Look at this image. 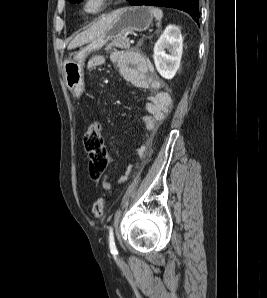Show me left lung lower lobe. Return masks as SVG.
<instances>
[{
    "instance_id": "left-lung-lower-lobe-1",
    "label": "left lung lower lobe",
    "mask_w": 267,
    "mask_h": 298,
    "mask_svg": "<svg viewBox=\"0 0 267 298\" xmlns=\"http://www.w3.org/2000/svg\"><path fill=\"white\" fill-rule=\"evenodd\" d=\"M199 0H130V5H151L163 6L182 10L191 15L198 23L199 18Z\"/></svg>"
}]
</instances>
